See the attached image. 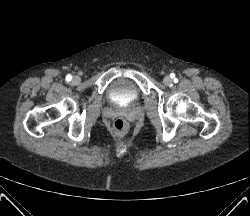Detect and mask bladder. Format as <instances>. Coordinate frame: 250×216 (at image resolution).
I'll use <instances>...</instances> for the list:
<instances>
[{"label":"bladder","mask_w":250,"mask_h":216,"mask_svg":"<svg viewBox=\"0 0 250 216\" xmlns=\"http://www.w3.org/2000/svg\"><path fill=\"white\" fill-rule=\"evenodd\" d=\"M108 93L111 101L119 106L131 105L139 98V91L135 84L124 77L114 80Z\"/></svg>","instance_id":"31cf9c89"}]
</instances>
